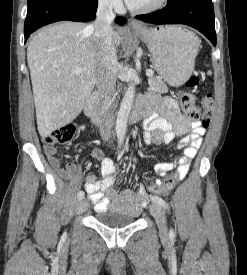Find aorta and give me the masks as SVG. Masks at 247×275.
<instances>
[{
    "instance_id": "aorta-1",
    "label": "aorta",
    "mask_w": 247,
    "mask_h": 275,
    "mask_svg": "<svg viewBox=\"0 0 247 275\" xmlns=\"http://www.w3.org/2000/svg\"><path fill=\"white\" fill-rule=\"evenodd\" d=\"M135 97V84L132 82L128 85L126 93L121 102L120 109L116 119V135L119 140H123L126 135L128 117L131 112Z\"/></svg>"
}]
</instances>
